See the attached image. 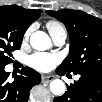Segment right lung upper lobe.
Returning <instances> with one entry per match:
<instances>
[{
    "instance_id": "cb5924a9",
    "label": "right lung upper lobe",
    "mask_w": 102,
    "mask_h": 102,
    "mask_svg": "<svg viewBox=\"0 0 102 102\" xmlns=\"http://www.w3.org/2000/svg\"><path fill=\"white\" fill-rule=\"evenodd\" d=\"M41 10L24 9L16 5H6L0 7V17L12 18L18 25L28 28L37 20Z\"/></svg>"
}]
</instances>
